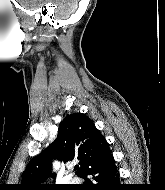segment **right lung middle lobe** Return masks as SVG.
I'll list each match as a JSON object with an SVG mask.
<instances>
[{
    "label": "right lung middle lobe",
    "mask_w": 165,
    "mask_h": 190,
    "mask_svg": "<svg viewBox=\"0 0 165 190\" xmlns=\"http://www.w3.org/2000/svg\"><path fill=\"white\" fill-rule=\"evenodd\" d=\"M62 188H58V189H52V188H47V189H44V190H60Z\"/></svg>",
    "instance_id": "right-lung-middle-lobe-1"
}]
</instances>
